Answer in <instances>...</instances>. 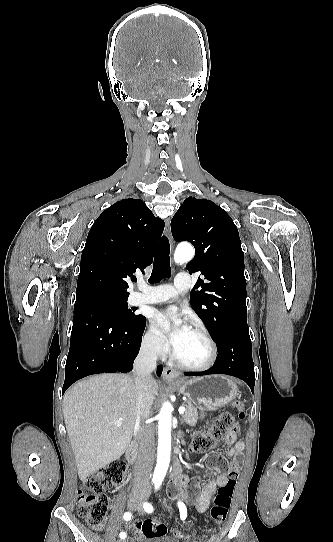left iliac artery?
Returning <instances> with one entry per match:
<instances>
[{
	"instance_id": "1",
	"label": "left iliac artery",
	"mask_w": 333,
	"mask_h": 542,
	"mask_svg": "<svg viewBox=\"0 0 333 542\" xmlns=\"http://www.w3.org/2000/svg\"><path fill=\"white\" fill-rule=\"evenodd\" d=\"M161 485V482H157L155 483V489L158 490L159 487ZM144 507V510L148 513H152L153 512V506L149 503H144L143 505ZM178 507H179V510H180V517L182 520L186 519V516H187V509H186V506L184 505V503L182 502H178Z\"/></svg>"
}]
</instances>
